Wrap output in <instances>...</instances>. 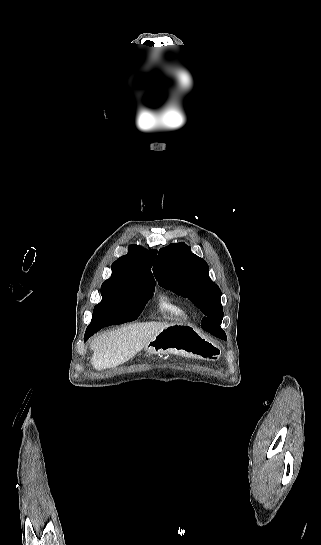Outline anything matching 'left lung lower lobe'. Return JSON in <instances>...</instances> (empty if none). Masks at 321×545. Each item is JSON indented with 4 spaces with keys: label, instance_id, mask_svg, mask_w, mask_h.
<instances>
[{
    "label": "left lung lower lobe",
    "instance_id": "obj_1",
    "mask_svg": "<svg viewBox=\"0 0 321 545\" xmlns=\"http://www.w3.org/2000/svg\"><path fill=\"white\" fill-rule=\"evenodd\" d=\"M223 317H218L217 315H209L207 321L201 324V327L211 334L218 336L223 330L220 327Z\"/></svg>",
    "mask_w": 321,
    "mask_h": 545
}]
</instances>
